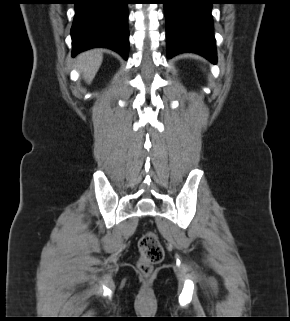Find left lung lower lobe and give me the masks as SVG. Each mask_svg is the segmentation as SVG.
<instances>
[{
	"label": "left lung lower lobe",
	"mask_w": 290,
	"mask_h": 321,
	"mask_svg": "<svg viewBox=\"0 0 290 321\" xmlns=\"http://www.w3.org/2000/svg\"><path fill=\"white\" fill-rule=\"evenodd\" d=\"M167 57L197 53L216 64L211 6L215 0H165Z\"/></svg>",
	"instance_id": "1"
}]
</instances>
